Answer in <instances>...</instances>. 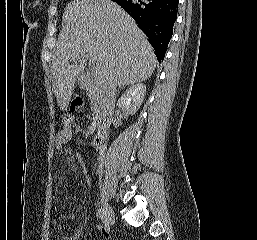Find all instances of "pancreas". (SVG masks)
Segmentation results:
<instances>
[{"label": "pancreas", "instance_id": "pancreas-1", "mask_svg": "<svg viewBox=\"0 0 257 240\" xmlns=\"http://www.w3.org/2000/svg\"><path fill=\"white\" fill-rule=\"evenodd\" d=\"M87 96L91 100V106L96 118L103 117L109 109V102L104 93L99 89H95L93 86H89L87 88Z\"/></svg>", "mask_w": 257, "mask_h": 240}]
</instances>
